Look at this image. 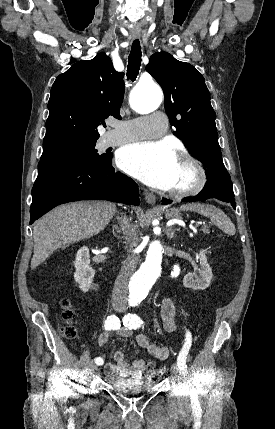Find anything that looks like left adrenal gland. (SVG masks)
Masks as SVG:
<instances>
[{
  "label": "left adrenal gland",
  "instance_id": "obj_1",
  "mask_svg": "<svg viewBox=\"0 0 275 429\" xmlns=\"http://www.w3.org/2000/svg\"><path fill=\"white\" fill-rule=\"evenodd\" d=\"M176 230H178V229L167 228V229H166L167 237H168L169 239H172V238L174 237V235H175V231H176Z\"/></svg>",
  "mask_w": 275,
  "mask_h": 429
}]
</instances>
